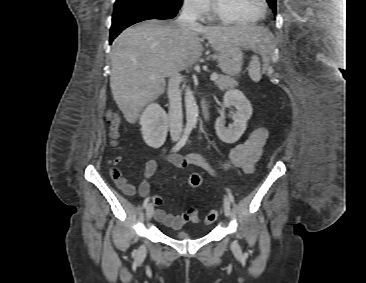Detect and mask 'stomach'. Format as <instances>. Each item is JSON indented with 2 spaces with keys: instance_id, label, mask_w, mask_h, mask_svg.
<instances>
[{
  "instance_id": "1",
  "label": "stomach",
  "mask_w": 366,
  "mask_h": 283,
  "mask_svg": "<svg viewBox=\"0 0 366 283\" xmlns=\"http://www.w3.org/2000/svg\"><path fill=\"white\" fill-rule=\"evenodd\" d=\"M242 59L241 46L236 43L230 47H222L217 50L218 66L227 75L235 76L240 72Z\"/></svg>"
}]
</instances>
